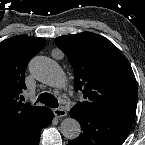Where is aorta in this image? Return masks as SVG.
Listing matches in <instances>:
<instances>
[{"label": "aorta", "mask_w": 145, "mask_h": 145, "mask_svg": "<svg viewBox=\"0 0 145 145\" xmlns=\"http://www.w3.org/2000/svg\"><path fill=\"white\" fill-rule=\"evenodd\" d=\"M29 70L37 80L46 85L61 87L65 83L64 74L58 64L47 57H35L29 64ZM60 130L64 137L72 140L80 135L81 126L76 119L69 117L62 121Z\"/></svg>", "instance_id": "aorta-1"}]
</instances>
